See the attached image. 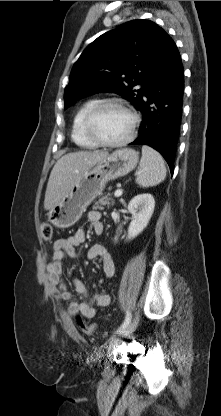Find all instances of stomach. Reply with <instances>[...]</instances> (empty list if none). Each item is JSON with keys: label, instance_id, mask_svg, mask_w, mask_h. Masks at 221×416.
I'll use <instances>...</instances> for the list:
<instances>
[{"label": "stomach", "instance_id": "1", "mask_svg": "<svg viewBox=\"0 0 221 416\" xmlns=\"http://www.w3.org/2000/svg\"><path fill=\"white\" fill-rule=\"evenodd\" d=\"M138 152L131 148L118 149L85 171L70 191L48 213L55 227L73 226L91 202L102 194L108 181L128 174L138 163Z\"/></svg>", "mask_w": 221, "mask_h": 416}]
</instances>
